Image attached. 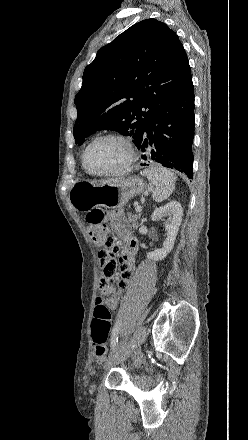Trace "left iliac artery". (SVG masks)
I'll return each mask as SVG.
<instances>
[{"mask_svg": "<svg viewBox=\"0 0 248 440\" xmlns=\"http://www.w3.org/2000/svg\"><path fill=\"white\" fill-rule=\"evenodd\" d=\"M118 342V330L116 328L113 329L112 331V336H111V349L114 351L116 344ZM135 341L134 338L131 339L129 345L134 347Z\"/></svg>", "mask_w": 248, "mask_h": 440, "instance_id": "1", "label": "left iliac artery"}]
</instances>
